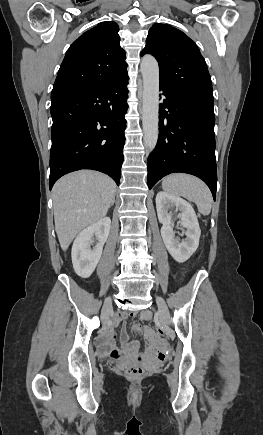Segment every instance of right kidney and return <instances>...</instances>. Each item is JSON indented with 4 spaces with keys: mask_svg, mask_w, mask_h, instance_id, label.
Segmentation results:
<instances>
[{
    "mask_svg": "<svg viewBox=\"0 0 263 435\" xmlns=\"http://www.w3.org/2000/svg\"><path fill=\"white\" fill-rule=\"evenodd\" d=\"M111 227L109 217H104L82 230L72 246V263L75 272L82 278H88L94 272L102 255ZM95 235L97 243L91 249L92 238Z\"/></svg>",
    "mask_w": 263,
    "mask_h": 435,
    "instance_id": "ca27d5eb",
    "label": "right kidney"
}]
</instances>
